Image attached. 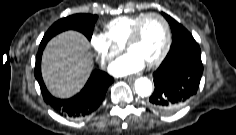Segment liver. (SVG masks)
<instances>
[{
  "mask_svg": "<svg viewBox=\"0 0 236 135\" xmlns=\"http://www.w3.org/2000/svg\"><path fill=\"white\" fill-rule=\"evenodd\" d=\"M93 68V56L86 37L66 31L52 38L42 57V76L52 95L68 98L85 84Z\"/></svg>",
  "mask_w": 236,
  "mask_h": 135,
  "instance_id": "1",
  "label": "liver"
}]
</instances>
